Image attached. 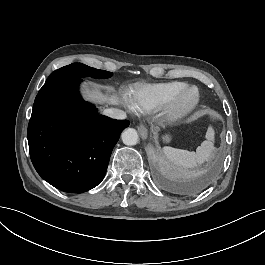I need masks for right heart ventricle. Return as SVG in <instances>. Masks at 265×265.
<instances>
[{
    "instance_id": "e07e8e85",
    "label": "right heart ventricle",
    "mask_w": 265,
    "mask_h": 265,
    "mask_svg": "<svg viewBox=\"0 0 265 265\" xmlns=\"http://www.w3.org/2000/svg\"><path fill=\"white\" fill-rule=\"evenodd\" d=\"M186 82L181 79L138 84L128 92V105L136 114H148L169 103Z\"/></svg>"
}]
</instances>
